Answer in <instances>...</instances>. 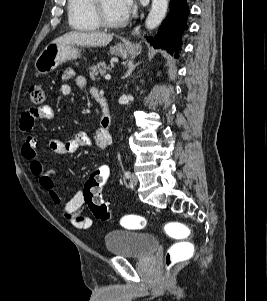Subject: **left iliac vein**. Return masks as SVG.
<instances>
[{
  "label": "left iliac vein",
  "mask_w": 267,
  "mask_h": 301,
  "mask_svg": "<svg viewBox=\"0 0 267 301\" xmlns=\"http://www.w3.org/2000/svg\"><path fill=\"white\" fill-rule=\"evenodd\" d=\"M137 183H138V178L134 173H132L130 176V185L132 187H135L137 185Z\"/></svg>",
  "instance_id": "obj_1"
}]
</instances>
